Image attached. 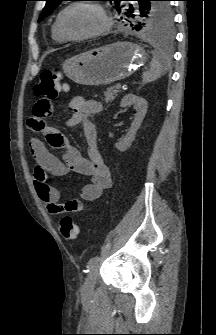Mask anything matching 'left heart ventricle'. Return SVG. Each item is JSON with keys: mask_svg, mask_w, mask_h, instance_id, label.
Wrapping results in <instances>:
<instances>
[{"mask_svg": "<svg viewBox=\"0 0 216 335\" xmlns=\"http://www.w3.org/2000/svg\"><path fill=\"white\" fill-rule=\"evenodd\" d=\"M61 24L67 34L77 36L102 28L104 19L90 6H77L64 14Z\"/></svg>", "mask_w": 216, "mask_h": 335, "instance_id": "obj_1", "label": "left heart ventricle"}]
</instances>
